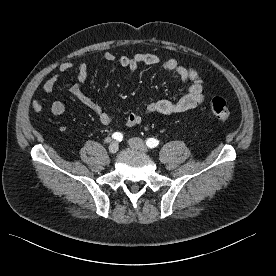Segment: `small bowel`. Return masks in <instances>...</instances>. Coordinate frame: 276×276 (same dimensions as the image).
<instances>
[{
  "instance_id": "c3829d8e",
  "label": "small bowel",
  "mask_w": 276,
  "mask_h": 276,
  "mask_svg": "<svg viewBox=\"0 0 276 276\" xmlns=\"http://www.w3.org/2000/svg\"><path fill=\"white\" fill-rule=\"evenodd\" d=\"M103 58L106 62H114L116 60V56L112 52H105ZM118 62L131 73H135L142 64L149 66L160 65L164 70L178 76L183 84H188V92L178 101L172 102L168 100H159L151 102L145 109L146 114L171 115L185 112L195 108L204 100L202 79L199 73L194 68L179 65L175 59L170 58L161 60L160 57L155 54L141 53L134 56H121ZM73 68H76L79 84L85 83L89 77L88 67L85 62H79L76 65L71 62H63L59 65V70L61 72H66ZM57 80L58 74L56 73L48 77L43 84V91L47 94L52 93ZM79 84L76 83L70 86V94L83 105L88 107L97 116L101 124H111L113 118L108 113L104 112L102 108L88 95H86ZM32 108L37 112H41L44 109V106L35 99L32 101ZM65 111L66 107L62 101H55L51 105V112L55 116H62ZM142 120V113L132 112L126 117L125 124L128 127H133L141 124Z\"/></svg>"
}]
</instances>
